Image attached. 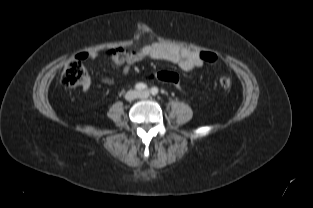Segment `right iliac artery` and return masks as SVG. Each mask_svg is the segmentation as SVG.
Returning a JSON list of instances; mask_svg holds the SVG:
<instances>
[{
  "mask_svg": "<svg viewBox=\"0 0 313 208\" xmlns=\"http://www.w3.org/2000/svg\"><path fill=\"white\" fill-rule=\"evenodd\" d=\"M135 88H136L137 90L141 91V90L146 89V88H147V85L144 84V83H138V84L135 85Z\"/></svg>",
  "mask_w": 313,
  "mask_h": 208,
  "instance_id": "82829eb1",
  "label": "right iliac artery"
}]
</instances>
